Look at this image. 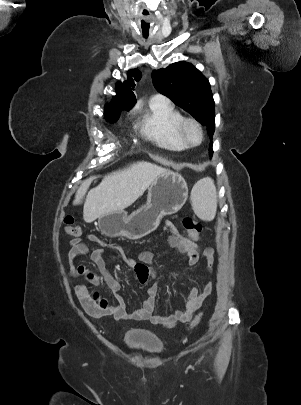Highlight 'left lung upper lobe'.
<instances>
[{
  "instance_id": "1",
  "label": "left lung upper lobe",
  "mask_w": 301,
  "mask_h": 405,
  "mask_svg": "<svg viewBox=\"0 0 301 405\" xmlns=\"http://www.w3.org/2000/svg\"><path fill=\"white\" fill-rule=\"evenodd\" d=\"M152 78L155 88L206 126L212 139L215 129V104L208 79L185 61L173 63L165 69L154 70ZM212 145L213 142L210 143V155L213 154Z\"/></svg>"
}]
</instances>
